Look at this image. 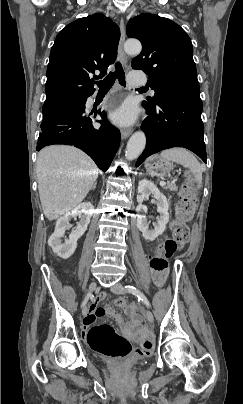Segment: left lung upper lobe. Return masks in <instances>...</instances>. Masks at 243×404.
I'll list each match as a JSON object with an SVG mask.
<instances>
[{
    "label": "left lung upper lobe",
    "mask_w": 243,
    "mask_h": 404,
    "mask_svg": "<svg viewBox=\"0 0 243 404\" xmlns=\"http://www.w3.org/2000/svg\"><path fill=\"white\" fill-rule=\"evenodd\" d=\"M126 33L142 43V52L132 60V68L148 74L155 95L143 102L148 111L173 97L200 99L199 82L193 60V46L187 33L175 22L143 13L129 20Z\"/></svg>",
    "instance_id": "left-lung-upper-lobe-1"
}]
</instances>
